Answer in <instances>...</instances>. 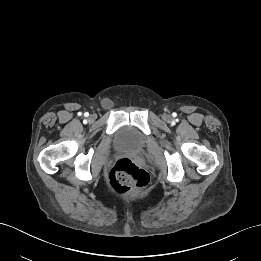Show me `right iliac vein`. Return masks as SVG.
I'll return each mask as SVG.
<instances>
[{
	"mask_svg": "<svg viewBox=\"0 0 261 261\" xmlns=\"http://www.w3.org/2000/svg\"><path fill=\"white\" fill-rule=\"evenodd\" d=\"M95 120V116L94 115H90L89 116V121H94Z\"/></svg>",
	"mask_w": 261,
	"mask_h": 261,
	"instance_id": "1",
	"label": "right iliac vein"
}]
</instances>
